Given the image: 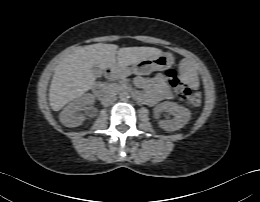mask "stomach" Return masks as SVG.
I'll list each match as a JSON object with an SVG mask.
<instances>
[{"label": "stomach", "instance_id": "1", "mask_svg": "<svg viewBox=\"0 0 260 202\" xmlns=\"http://www.w3.org/2000/svg\"><path fill=\"white\" fill-rule=\"evenodd\" d=\"M174 62V57L170 53H161L157 56L146 58L132 67L118 66V73L120 76H127L132 72L147 74L153 70H165L169 68Z\"/></svg>", "mask_w": 260, "mask_h": 202}]
</instances>
